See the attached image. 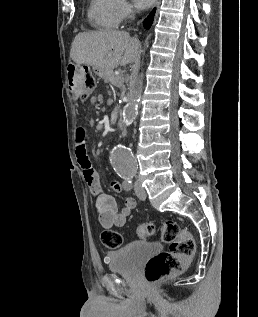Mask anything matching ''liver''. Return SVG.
I'll return each instance as SVG.
<instances>
[{
    "label": "liver",
    "instance_id": "obj_1",
    "mask_svg": "<svg viewBox=\"0 0 258 317\" xmlns=\"http://www.w3.org/2000/svg\"><path fill=\"white\" fill-rule=\"evenodd\" d=\"M139 48L138 38H131L125 30H91L76 34L70 56L78 64H90L102 72H112L119 64L125 66L134 62Z\"/></svg>",
    "mask_w": 258,
    "mask_h": 317
}]
</instances>
